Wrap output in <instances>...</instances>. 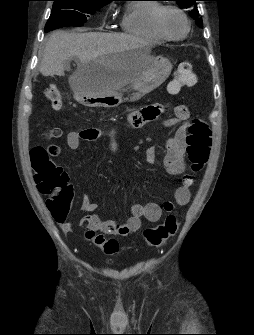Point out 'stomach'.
I'll return each mask as SVG.
<instances>
[{"label":"stomach","instance_id":"0dacf381","mask_svg":"<svg viewBox=\"0 0 254 335\" xmlns=\"http://www.w3.org/2000/svg\"><path fill=\"white\" fill-rule=\"evenodd\" d=\"M149 61V68L145 73L133 79L127 88L122 90L105 92L93 82L78 84L74 90V98L87 107L114 108L125 100L134 102L160 86L169 76L172 70L171 62L162 56H151L150 50L145 46H138L121 53L100 58L90 62L87 68L94 74L118 66H128L137 62ZM130 90L131 94L125 99L123 93Z\"/></svg>","mask_w":254,"mask_h":335}]
</instances>
